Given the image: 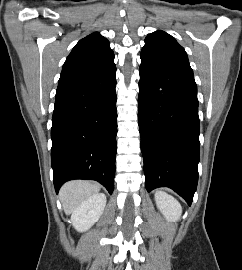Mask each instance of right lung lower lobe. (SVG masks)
<instances>
[{
  "label": "right lung lower lobe",
  "mask_w": 242,
  "mask_h": 270,
  "mask_svg": "<svg viewBox=\"0 0 242 270\" xmlns=\"http://www.w3.org/2000/svg\"><path fill=\"white\" fill-rule=\"evenodd\" d=\"M114 61L91 76L57 89L51 160L58 193L66 181L100 182L114 189L117 111Z\"/></svg>",
  "instance_id": "obj_1"
}]
</instances>
